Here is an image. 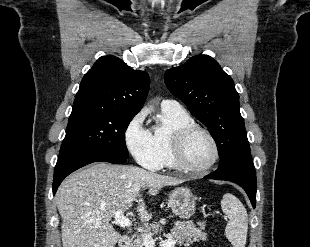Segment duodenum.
<instances>
[{
	"label": "duodenum",
	"mask_w": 310,
	"mask_h": 247,
	"mask_svg": "<svg viewBox=\"0 0 310 247\" xmlns=\"http://www.w3.org/2000/svg\"><path fill=\"white\" fill-rule=\"evenodd\" d=\"M118 247H130V238L128 236H122L118 242Z\"/></svg>",
	"instance_id": "1"
}]
</instances>
